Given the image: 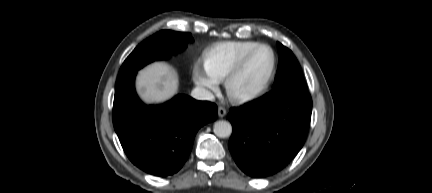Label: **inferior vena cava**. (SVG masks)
Segmentation results:
<instances>
[{"label":"inferior vena cava","instance_id":"1","mask_svg":"<svg viewBox=\"0 0 432 193\" xmlns=\"http://www.w3.org/2000/svg\"><path fill=\"white\" fill-rule=\"evenodd\" d=\"M191 96L197 100H214V95L207 89L203 87H196L192 90Z\"/></svg>","mask_w":432,"mask_h":193}]
</instances>
